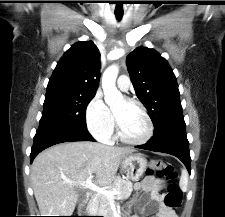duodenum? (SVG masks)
Segmentation results:
<instances>
[{"label":"duodenum","instance_id":"obj_1","mask_svg":"<svg viewBox=\"0 0 225 217\" xmlns=\"http://www.w3.org/2000/svg\"><path fill=\"white\" fill-rule=\"evenodd\" d=\"M87 198L88 200H90L92 198V193H88ZM83 213H87V210L84 209ZM109 217H119V215L114 213V214H111Z\"/></svg>","mask_w":225,"mask_h":217}]
</instances>
